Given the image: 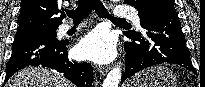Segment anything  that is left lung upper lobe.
Segmentation results:
<instances>
[{"mask_svg": "<svg viewBox=\"0 0 205 87\" xmlns=\"http://www.w3.org/2000/svg\"><path fill=\"white\" fill-rule=\"evenodd\" d=\"M124 3L135 7L138 10L139 15L147 10L156 9L159 7L174 8V0H125ZM138 34L139 33L135 31L125 32V35L127 36H134Z\"/></svg>", "mask_w": 205, "mask_h": 87, "instance_id": "1", "label": "left lung upper lobe"}]
</instances>
